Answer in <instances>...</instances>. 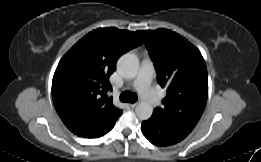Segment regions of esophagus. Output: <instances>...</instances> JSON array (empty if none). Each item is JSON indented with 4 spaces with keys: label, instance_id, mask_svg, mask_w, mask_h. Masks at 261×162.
<instances>
[{
    "label": "esophagus",
    "instance_id": "1",
    "mask_svg": "<svg viewBox=\"0 0 261 162\" xmlns=\"http://www.w3.org/2000/svg\"><path fill=\"white\" fill-rule=\"evenodd\" d=\"M138 105V103H132V104H129L130 107L134 108Z\"/></svg>",
    "mask_w": 261,
    "mask_h": 162
}]
</instances>
